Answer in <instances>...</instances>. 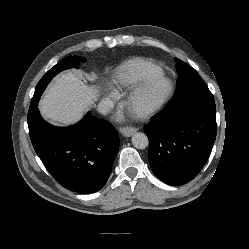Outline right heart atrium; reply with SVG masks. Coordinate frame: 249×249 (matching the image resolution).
Listing matches in <instances>:
<instances>
[{"instance_id": "obj_1", "label": "right heart atrium", "mask_w": 249, "mask_h": 249, "mask_svg": "<svg viewBox=\"0 0 249 249\" xmlns=\"http://www.w3.org/2000/svg\"><path fill=\"white\" fill-rule=\"evenodd\" d=\"M114 96L113 93L108 94V98H112Z\"/></svg>"}]
</instances>
